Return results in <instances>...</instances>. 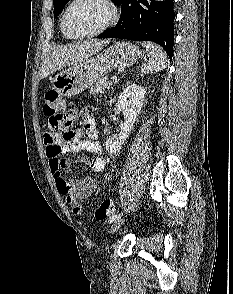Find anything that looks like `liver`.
<instances>
[{"label":"liver","mask_w":233,"mask_h":294,"mask_svg":"<svg viewBox=\"0 0 233 294\" xmlns=\"http://www.w3.org/2000/svg\"><path fill=\"white\" fill-rule=\"evenodd\" d=\"M109 41L91 40L80 44H71L54 50L43 61L40 67V78L43 79L54 71L66 66L76 65L98 53Z\"/></svg>","instance_id":"obj_1"}]
</instances>
